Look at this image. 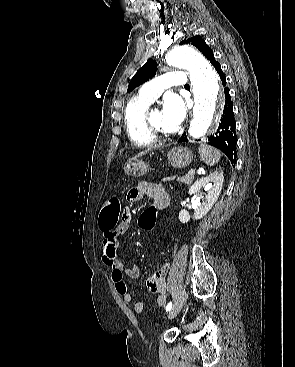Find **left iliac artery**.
Listing matches in <instances>:
<instances>
[{
  "mask_svg": "<svg viewBox=\"0 0 295 367\" xmlns=\"http://www.w3.org/2000/svg\"><path fill=\"white\" fill-rule=\"evenodd\" d=\"M171 308H172V302L170 301V302L167 304V306H166L165 310H166V311H170V310H171Z\"/></svg>",
  "mask_w": 295,
  "mask_h": 367,
  "instance_id": "left-iliac-artery-1",
  "label": "left iliac artery"
}]
</instances>
